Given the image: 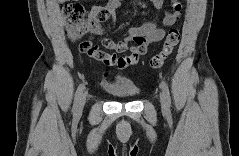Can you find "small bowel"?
<instances>
[{
	"mask_svg": "<svg viewBox=\"0 0 239 156\" xmlns=\"http://www.w3.org/2000/svg\"><path fill=\"white\" fill-rule=\"evenodd\" d=\"M164 0H153V5L156 9H161ZM121 0H109L103 5H98L92 8L89 19L92 21V30L96 34H104L105 30L101 28L97 16L103 12L105 18L115 20L116 10L120 7ZM136 6H142L141 3H134ZM182 5L176 0L170 1V10L166 11L163 17V26L170 27L180 18ZM164 27H158L154 22H145L139 26L130 27L127 36L118 42L112 41L109 38L103 37L102 45L109 51L117 53L129 54L120 58L115 57L112 53H104L98 51L93 44V52H88L89 55L101 59L105 64H115L119 69H126L137 63L139 57L146 53L148 47L156 42L161 41L166 34ZM133 43V44H131Z\"/></svg>",
	"mask_w": 239,
	"mask_h": 156,
	"instance_id": "small-bowel-1",
	"label": "small bowel"
}]
</instances>
